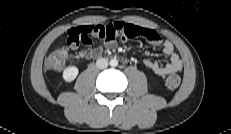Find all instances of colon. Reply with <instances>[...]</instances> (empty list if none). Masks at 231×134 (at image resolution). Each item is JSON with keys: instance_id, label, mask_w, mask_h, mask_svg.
Instances as JSON below:
<instances>
[{"instance_id": "1", "label": "colon", "mask_w": 231, "mask_h": 134, "mask_svg": "<svg viewBox=\"0 0 231 134\" xmlns=\"http://www.w3.org/2000/svg\"><path fill=\"white\" fill-rule=\"evenodd\" d=\"M67 58L65 50L60 49L53 52L46 60V66L50 70L59 71L63 68ZM181 79L178 75H170L166 78L165 84L167 88L174 90L180 85Z\"/></svg>"}]
</instances>
